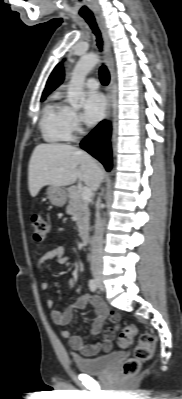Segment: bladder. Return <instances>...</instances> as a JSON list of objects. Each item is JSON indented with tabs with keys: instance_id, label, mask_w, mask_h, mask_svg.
Instances as JSON below:
<instances>
[{
	"instance_id": "31cf9c89",
	"label": "bladder",
	"mask_w": 182,
	"mask_h": 399,
	"mask_svg": "<svg viewBox=\"0 0 182 399\" xmlns=\"http://www.w3.org/2000/svg\"><path fill=\"white\" fill-rule=\"evenodd\" d=\"M122 356V352H111L94 358L74 357V363L77 369L83 374H104L108 372Z\"/></svg>"
}]
</instances>
